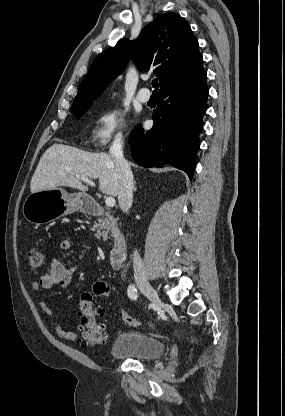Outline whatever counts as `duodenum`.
<instances>
[{
	"instance_id": "obj_1",
	"label": "duodenum",
	"mask_w": 285,
	"mask_h": 416,
	"mask_svg": "<svg viewBox=\"0 0 285 416\" xmlns=\"http://www.w3.org/2000/svg\"><path fill=\"white\" fill-rule=\"evenodd\" d=\"M77 201L88 213L92 215L103 214V208L98 204L97 197H90L89 193H78ZM126 251L127 238L124 234L120 233L114 238L109 251L110 267L113 270L122 268Z\"/></svg>"
}]
</instances>
